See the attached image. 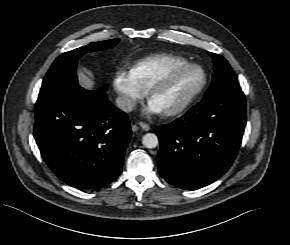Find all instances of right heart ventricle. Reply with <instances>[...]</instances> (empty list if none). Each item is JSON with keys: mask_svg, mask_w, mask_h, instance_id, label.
Listing matches in <instances>:
<instances>
[{"mask_svg": "<svg viewBox=\"0 0 290 245\" xmlns=\"http://www.w3.org/2000/svg\"><path fill=\"white\" fill-rule=\"evenodd\" d=\"M187 63H189L188 60L182 56L159 54L139 61L131 68V72L139 86L147 91L157 76Z\"/></svg>", "mask_w": 290, "mask_h": 245, "instance_id": "1", "label": "right heart ventricle"}]
</instances>
